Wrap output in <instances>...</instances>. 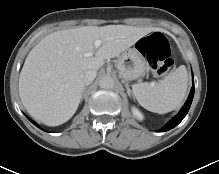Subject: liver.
<instances>
[{
  "label": "liver",
  "mask_w": 219,
  "mask_h": 174,
  "mask_svg": "<svg viewBox=\"0 0 219 174\" xmlns=\"http://www.w3.org/2000/svg\"><path fill=\"white\" fill-rule=\"evenodd\" d=\"M153 28L127 25L83 26L53 32L29 52L19 77V96L27 112L48 126L76 112L85 84L82 74L97 71ZM101 40V46L94 43ZM95 51V56L85 54Z\"/></svg>",
  "instance_id": "obj_1"
}]
</instances>
